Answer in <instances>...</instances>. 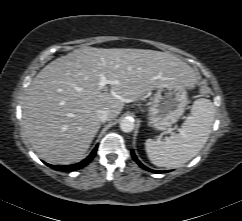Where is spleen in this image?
Wrapping results in <instances>:
<instances>
[{
	"instance_id": "1",
	"label": "spleen",
	"mask_w": 242,
	"mask_h": 221,
	"mask_svg": "<svg viewBox=\"0 0 242 221\" xmlns=\"http://www.w3.org/2000/svg\"><path fill=\"white\" fill-rule=\"evenodd\" d=\"M215 107L209 99L194 101L191 116L182 124L179 133L167 140L147 139L145 149L156 166L176 168L194 158L206 144L214 121Z\"/></svg>"
}]
</instances>
